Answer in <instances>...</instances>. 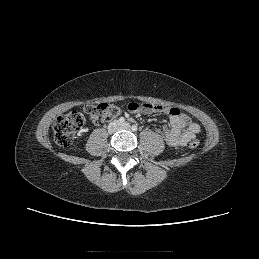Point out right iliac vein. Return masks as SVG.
<instances>
[{
    "mask_svg": "<svg viewBox=\"0 0 259 259\" xmlns=\"http://www.w3.org/2000/svg\"><path fill=\"white\" fill-rule=\"evenodd\" d=\"M111 130L116 131L119 128V123L118 122H112L110 125Z\"/></svg>",
    "mask_w": 259,
    "mask_h": 259,
    "instance_id": "1",
    "label": "right iliac vein"
}]
</instances>
